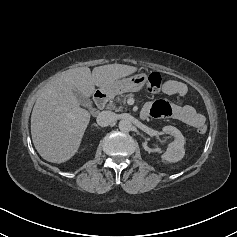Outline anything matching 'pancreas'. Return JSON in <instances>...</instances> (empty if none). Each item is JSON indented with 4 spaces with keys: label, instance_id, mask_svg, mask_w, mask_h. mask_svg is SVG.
<instances>
[{
    "label": "pancreas",
    "instance_id": "obj_1",
    "mask_svg": "<svg viewBox=\"0 0 237 237\" xmlns=\"http://www.w3.org/2000/svg\"><path fill=\"white\" fill-rule=\"evenodd\" d=\"M134 95L133 94H127L124 95L122 99H120L119 97L116 98L115 102L114 101H110V103L108 104V108L115 110V111H122V109L124 108V106L126 105V100L128 98H132ZM119 103L120 106H116Z\"/></svg>",
    "mask_w": 237,
    "mask_h": 237
}]
</instances>
